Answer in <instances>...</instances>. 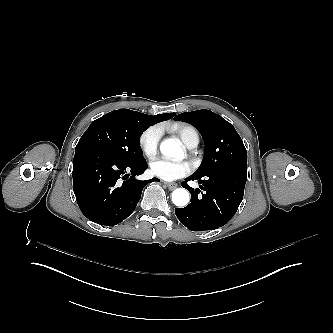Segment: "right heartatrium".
<instances>
[{
	"mask_svg": "<svg viewBox=\"0 0 333 333\" xmlns=\"http://www.w3.org/2000/svg\"><path fill=\"white\" fill-rule=\"evenodd\" d=\"M159 142V132L154 128L148 129L140 138L141 150L150 161L155 159L158 154Z\"/></svg>",
	"mask_w": 333,
	"mask_h": 333,
	"instance_id": "right-heart-atrium-1",
	"label": "right heart atrium"
}]
</instances>
